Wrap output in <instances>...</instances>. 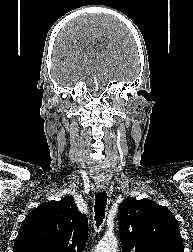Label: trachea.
I'll return each mask as SVG.
<instances>
[{
	"instance_id": "obj_1",
	"label": "trachea",
	"mask_w": 193,
	"mask_h": 252,
	"mask_svg": "<svg viewBox=\"0 0 193 252\" xmlns=\"http://www.w3.org/2000/svg\"><path fill=\"white\" fill-rule=\"evenodd\" d=\"M107 205V194L105 191L98 193L95 197V205H94V212H95V221L96 226L99 227L104 218H105V208Z\"/></svg>"
}]
</instances>
